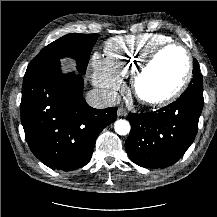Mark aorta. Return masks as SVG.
<instances>
[{
  "label": "aorta",
  "mask_w": 217,
  "mask_h": 217,
  "mask_svg": "<svg viewBox=\"0 0 217 217\" xmlns=\"http://www.w3.org/2000/svg\"><path fill=\"white\" fill-rule=\"evenodd\" d=\"M115 132L119 135H127L130 132V123L126 120H117L114 124Z\"/></svg>",
  "instance_id": "762f6f07"
}]
</instances>
